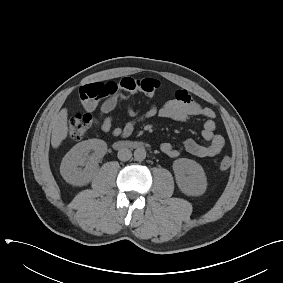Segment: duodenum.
I'll return each mask as SVG.
<instances>
[{"mask_svg": "<svg viewBox=\"0 0 283 283\" xmlns=\"http://www.w3.org/2000/svg\"><path fill=\"white\" fill-rule=\"evenodd\" d=\"M114 148L117 150L120 149H127V148H137L141 146V143L136 142V141H117L114 143Z\"/></svg>", "mask_w": 283, "mask_h": 283, "instance_id": "obj_1", "label": "duodenum"}]
</instances>
